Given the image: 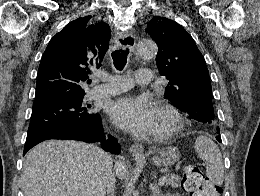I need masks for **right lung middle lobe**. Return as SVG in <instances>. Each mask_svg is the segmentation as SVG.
Returning a JSON list of instances; mask_svg holds the SVG:
<instances>
[{
	"label": "right lung middle lobe",
	"mask_w": 260,
	"mask_h": 196,
	"mask_svg": "<svg viewBox=\"0 0 260 196\" xmlns=\"http://www.w3.org/2000/svg\"><path fill=\"white\" fill-rule=\"evenodd\" d=\"M84 95H64L33 105L26 142L93 121L96 113L82 105Z\"/></svg>",
	"instance_id": "obj_1"
}]
</instances>
